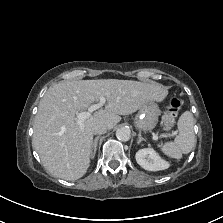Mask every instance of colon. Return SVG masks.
Instances as JSON below:
<instances>
[{"label": "colon", "instance_id": "colon-1", "mask_svg": "<svg viewBox=\"0 0 223 223\" xmlns=\"http://www.w3.org/2000/svg\"><path fill=\"white\" fill-rule=\"evenodd\" d=\"M180 107L181 101L177 97H173L170 100L168 108L163 117V124L166 128H170L174 125Z\"/></svg>", "mask_w": 223, "mask_h": 223}]
</instances>
